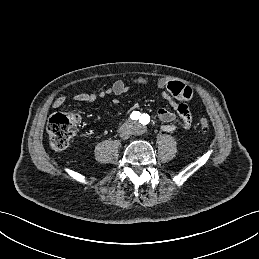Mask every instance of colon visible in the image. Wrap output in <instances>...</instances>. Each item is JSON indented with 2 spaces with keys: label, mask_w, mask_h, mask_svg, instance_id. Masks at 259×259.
Returning <instances> with one entry per match:
<instances>
[{
  "label": "colon",
  "mask_w": 259,
  "mask_h": 259,
  "mask_svg": "<svg viewBox=\"0 0 259 259\" xmlns=\"http://www.w3.org/2000/svg\"><path fill=\"white\" fill-rule=\"evenodd\" d=\"M78 123V116L72 113H57L53 115L47 125L51 146L55 150L68 148L76 133ZM199 127L203 133L207 132L209 129V121L206 118H201Z\"/></svg>",
  "instance_id": "colon-1"
}]
</instances>
